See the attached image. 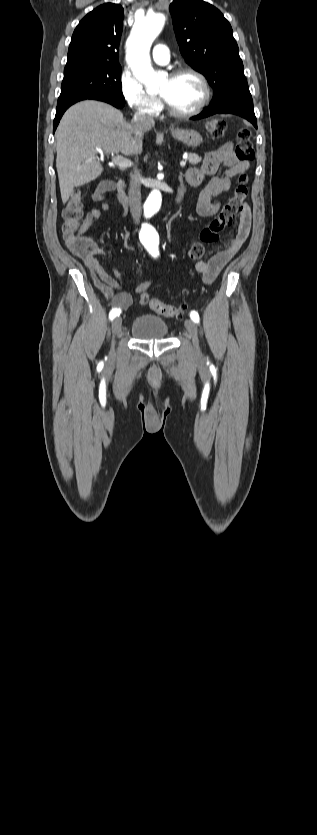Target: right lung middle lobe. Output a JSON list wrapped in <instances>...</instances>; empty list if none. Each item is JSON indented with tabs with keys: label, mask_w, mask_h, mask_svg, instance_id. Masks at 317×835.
I'll return each mask as SVG.
<instances>
[{
	"label": "right lung middle lobe",
	"mask_w": 317,
	"mask_h": 835,
	"mask_svg": "<svg viewBox=\"0 0 317 835\" xmlns=\"http://www.w3.org/2000/svg\"><path fill=\"white\" fill-rule=\"evenodd\" d=\"M120 74L121 66L115 64H68L64 70L57 105L97 94H111L124 98Z\"/></svg>",
	"instance_id": "dd1d6c3e"
}]
</instances>
